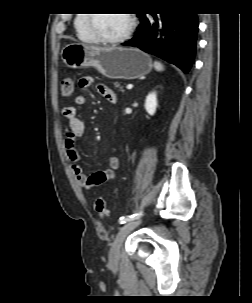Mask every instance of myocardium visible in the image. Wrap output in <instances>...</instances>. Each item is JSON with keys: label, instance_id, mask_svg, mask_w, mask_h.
<instances>
[{"label": "myocardium", "instance_id": "obj_1", "mask_svg": "<svg viewBox=\"0 0 252 303\" xmlns=\"http://www.w3.org/2000/svg\"><path fill=\"white\" fill-rule=\"evenodd\" d=\"M128 17H129V24L126 28V30L118 35V36H114V37H107L104 36L100 33H98L97 31H95V29L93 28V24L95 21V15L91 14L90 16H88V24H89V29L92 33V39L94 40H98L104 43H119L122 42L124 40H126L131 33L133 32L135 26H136V16L133 13H127Z\"/></svg>", "mask_w": 252, "mask_h": 303}]
</instances>
